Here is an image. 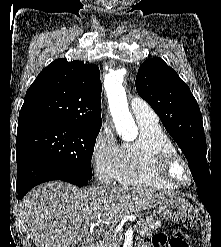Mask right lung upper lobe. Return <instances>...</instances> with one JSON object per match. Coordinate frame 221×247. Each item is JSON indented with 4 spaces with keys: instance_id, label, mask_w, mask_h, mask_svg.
<instances>
[{
    "instance_id": "cb5924a9",
    "label": "right lung upper lobe",
    "mask_w": 221,
    "mask_h": 247,
    "mask_svg": "<svg viewBox=\"0 0 221 247\" xmlns=\"http://www.w3.org/2000/svg\"><path fill=\"white\" fill-rule=\"evenodd\" d=\"M101 87L98 66L57 59L26 92L18 128L73 123L100 131Z\"/></svg>"
}]
</instances>
